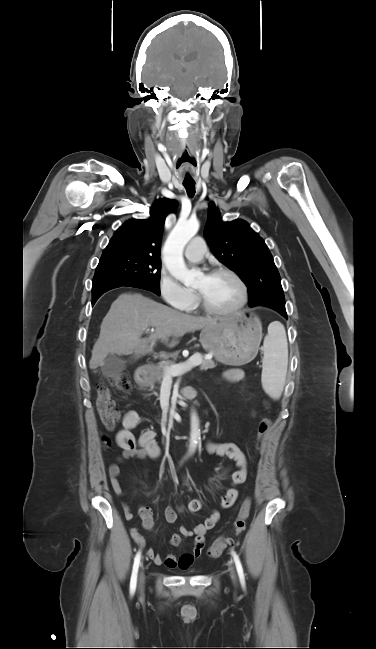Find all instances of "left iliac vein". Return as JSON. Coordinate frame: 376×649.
<instances>
[{"instance_id": "obj_1", "label": "left iliac vein", "mask_w": 376, "mask_h": 649, "mask_svg": "<svg viewBox=\"0 0 376 649\" xmlns=\"http://www.w3.org/2000/svg\"><path fill=\"white\" fill-rule=\"evenodd\" d=\"M229 571H230L231 579L233 580L234 583H236L237 578H236L235 569L231 564L229 565Z\"/></svg>"}]
</instances>
